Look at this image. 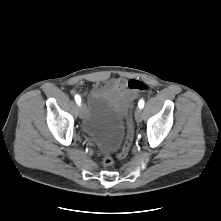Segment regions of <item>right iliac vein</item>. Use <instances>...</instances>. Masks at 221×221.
Instances as JSON below:
<instances>
[{"label":"right iliac vein","mask_w":221,"mask_h":221,"mask_svg":"<svg viewBox=\"0 0 221 221\" xmlns=\"http://www.w3.org/2000/svg\"><path fill=\"white\" fill-rule=\"evenodd\" d=\"M86 116V109H85V106L84 104H82L80 107H79V117L81 119H84Z\"/></svg>","instance_id":"right-iliac-vein-1"}]
</instances>
